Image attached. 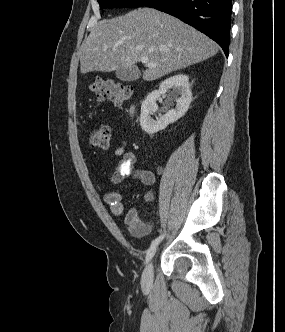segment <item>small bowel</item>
I'll use <instances>...</instances> for the list:
<instances>
[{
	"label": "small bowel",
	"instance_id": "c3829d8e",
	"mask_svg": "<svg viewBox=\"0 0 285 332\" xmlns=\"http://www.w3.org/2000/svg\"><path fill=\"white\" fill-rule=\"evenodd\" d=\"M114 155L121 159L111 176V183L113 186L118 187L127 177H131L133 180H138L146 186L154 185L156 178L152 171L134 167L136 163V155L133 151L127 150L126 141H123L121 146L115 150ZM147 197L151 198V195L149 194ZM104 200L113 215L118 216L123 213L124 205L122 202V196L118 191H109L105 193ZM139 219L140 217L136 211H130L126 215L125 220L127 224H135Z\"/></svg>",
	"mask_w": 285,
	"mask_h": 332
}]
</instances>
